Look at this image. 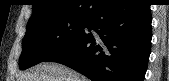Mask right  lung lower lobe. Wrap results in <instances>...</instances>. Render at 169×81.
I'll return each instance as SVG.
<instances>
[{
	"mask_svg": "<svg viewBox=\"0 0 169 81\" xmlns=\"http://www.w3.org/2000/svg\"><path fill=\"white\" fill-rule=\"evenodd\" d=\"M151 20L150 5L142 0H105L87 16L81 32L44 61L66 65L92 81H143Z\"/></svg>",
	"mask_w": 169,
	"mask_h": 81,
	"instance_id": "1",
	"label": "right lung lower lobe"
}]
</instances>
